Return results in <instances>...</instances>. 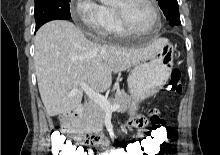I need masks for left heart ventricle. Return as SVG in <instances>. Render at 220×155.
Wrapping results in <instances>:
<instances>
[{
    "mask_svg": "<svg viewBox=\"0 0 220 155\" xmlns=\"http://www.w3.org/2000/svg\"><path fill=\"white\" fill-rule=\"evenodd\" d=\"M115 6H122L125 16L132 27L145 30L152 24V12L145 0H118Z\"/></svg>",
    "mask_w": 220,
    "mask_h": 155,
    "instance_id": "left-heart-ventricle-1",
    "label": "left heart ventricle"
}]
</instances>
